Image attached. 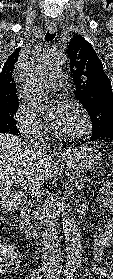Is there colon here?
I'll return each instance as SVG.
<instances>
[{"instance_id": "5ec220e1", "label": "colon", "mask_w": 113, "mask_h": 279, "mask_svg": "<svg viewBox=\"0 0 113 279\" xmlns=\"http://www.w3.org/2000/svg\"><path fill=\"white\" fill-rule=\"evenodd\" d=\"M110 188V187H108ZM2 222L0 219V226ZM16 254L10 250V247L7 245L0 244V275L3 274L6 268V264L15 261Z\"/></svg>"}]
</instances>
